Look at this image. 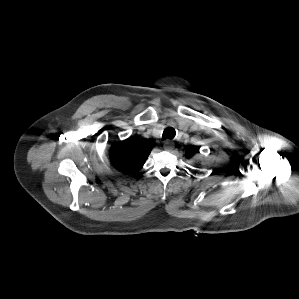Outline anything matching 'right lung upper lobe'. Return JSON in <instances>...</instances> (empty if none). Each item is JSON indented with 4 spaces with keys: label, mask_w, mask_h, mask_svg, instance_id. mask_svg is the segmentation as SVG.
<instances>
[{
    "label": "right lung upper lobe",
    "mask_w": 299,
    "mask_h": 299,
    "mask_svg": "<svg viewBox=\"0 0 299 299\" xmlns=\"http://www.w3.org/2000/svg\"><path fill=\"white\" fill-rule=\"evenodd\" d=\"M151 148L140 139L130 137L110 149V159L114 167L123 173H137L144 165Z\"/></svg>",
    "instance_id": "right-lung-upper-lobe-1"
}]
</instances>
